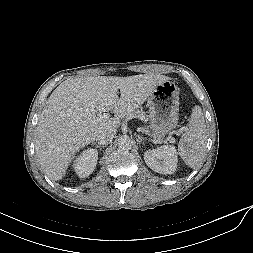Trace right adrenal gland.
I'll return each mask as SVG.
<instances>
[{"instance_id": "2a0ac1e0", "label": "right adrenal gland", "mask_w": 253, "mask_h": 253, "mask_svg": "<svg viewBox=\"0 0 253 253\" xmlns=\"http://www.w3.org/2000/svg\"><path fill=\"white\" fill-rule=\"evenodd\" d=\"M92 144H95V146L97 147V148H99V149H101V148H104L105 146H102V145H100V144H96L95 142H92Z\"/></svg>"}]
</instances>
